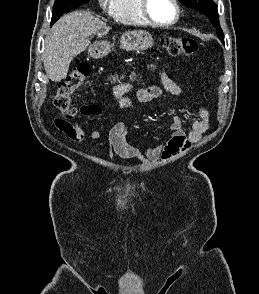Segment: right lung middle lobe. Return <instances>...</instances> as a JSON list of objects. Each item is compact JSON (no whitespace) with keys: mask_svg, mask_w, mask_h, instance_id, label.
I'll return each mask as SVG.
<instances>
[{"mask_svg":"<svg viewBox=\"0 0 259 294\" xmlns=\"http://www.w3.org/2000/svg\"><path fill=\"white\" fill-rule=\"evenodd\" d=\"M87 2H89V0H55L51 25L55 23L62 14L78 8L80 5Z\"/></svg>","mask_w":259,"mask_h":294,"instance_id":"dd1d6c3e","label":"right lung middle lobe"}]
</instances>
